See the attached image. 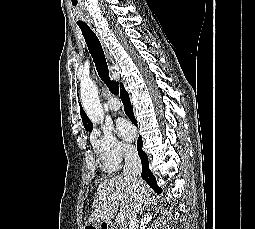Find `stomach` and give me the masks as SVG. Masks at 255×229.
I'll list each match as a JSON object with an SVG mask.
<instances>
[{
  "label": "stomach",
  "instance_id": "stomach-1",
  "mask_svg": "<svg viewBox=\"0 0 255 229\" xmlns=\"http://www.w3.org/2000/svg\"><path fill=\"white\" fill-rule=\"evenodd\" d=\"M85 229H101V224L100 225L87 224Z\"/></svg>",
  "mask_w": 255,
  "mask_h": 229
}]
</instances>
